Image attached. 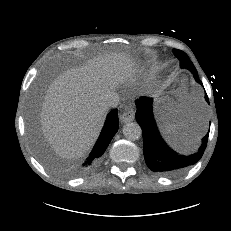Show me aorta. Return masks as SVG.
<instances>
[{"mask_svg":"<svg viewBox=\"0 0 231 231\" xmlns=\"http://www.w3.org/2000/svg\"><path fill=\"white\" fill-rule=\"evenodd\" d=\"M123 135L126 139L135 141L142 135L141 127L135 122L128 123L123 127Z\"/></svg>","mask_w":231,"mask_h":231,"instance_id":"1","label":"aorta"}]
</instances>
